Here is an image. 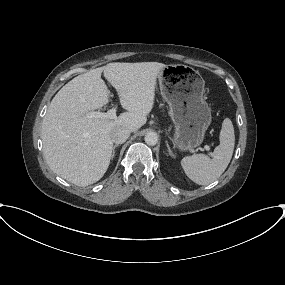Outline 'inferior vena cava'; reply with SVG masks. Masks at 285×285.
Listing matches in <instances>:
<instances>
[{"label":"inferior vena cava","instance_id":"1","mask_svg":"<svg viewBox=\"0 0 285 285\" xmlns=\"http://www.w3.org/2000/svg\"><path fill=\"white\" fill-rule=\"evenodd\" d=\"M131 131L127 128L117 127L111 131V139L116 144L124 143L130 136Z\"/></svg>","mask_w":285,"mask_h":285}]
</instances>
